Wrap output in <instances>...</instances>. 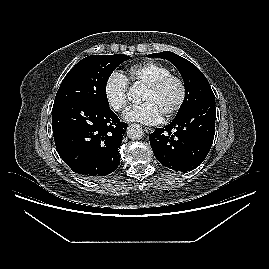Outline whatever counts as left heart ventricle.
<instances>
[{
  "label": "left heart ventricle",
  "mask_w": 269,
  "mask_h": 269,
  "mask_svg": "<svg viewBox=\"0 0 269 269\" xmlns=\"http://www.w3.org/2000/svg\"><path fill=\"white\" fill-rule=\"evenodd\" d=\"M180 97V87L176 81H170L158 92L146 89L142 101L151 102L159 111L161 116H165L177 103Z\"/></svg>",
  "instance_id": "obj_1"
}]
</instances>
